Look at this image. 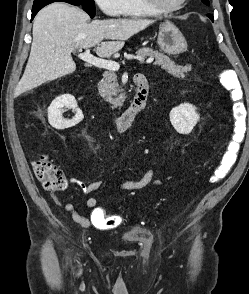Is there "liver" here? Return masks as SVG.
Instances as JSON below:
<instances>
[{
	"label": "liver",
	"mask_w": 249,
	"mask_h": 294,
	"mask_svg": "<svg viewBox=\"0 0 249 294\" xmlns=\"http://www.w3.org/2000/svg\"><path fill=\"white\" fill-rule=\"evenodd\" d=\"M77 7L52 3L44 7L33 23V42L24 74L15 95L32 90L46 82L73 73L76 64L74 48L94 47L100 57L118 52L124 41L147 28L152 20H93ZM103 39L110 40L102 42Z\"/></svg>",
	"instance_id": "liver-1"
}]
</instances>
